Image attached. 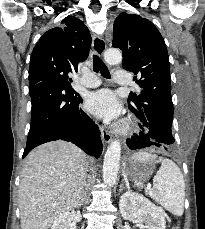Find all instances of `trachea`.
<instances>
[{
	"instance_id": "trachea-1",
	"label": "trachea",
	"mask_w": 205,
	"mask_h": 229,
	"mask_svg": "<svg viewBox=\"0 0 205 229\" xmlns=\"http://www.w3.org/2000/svg\"><path fill=\"white\" fill-rule=\"evenodd\" d=\"M93 70L101 73V75L107 79L110 78V73L106 65L101 61L97 55H93Z\"/></svg>"
}]
</instances>
